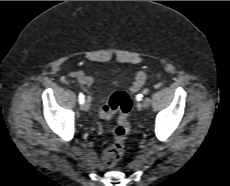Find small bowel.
Segmentation results:
<instances>
[{
  "instance_id": "small-bowel-1",
  "label": "small bowel",
  "mask_w": 230,
  "mask_h": 186,
  "mask_svg": "<svg viewBox=\"0 0 230 186\" xmlns=\"http://www.w3.org/2000/svg\"><path fill=\"white\" fill-rule=\"evenodd\" d=\"M69 77L75 78L80 84L90 87L94 81V77L92 75L85 74L82 70H73L69 72ZM133 92L137 90H131Z\"/></svg>"
}]
</instances>
